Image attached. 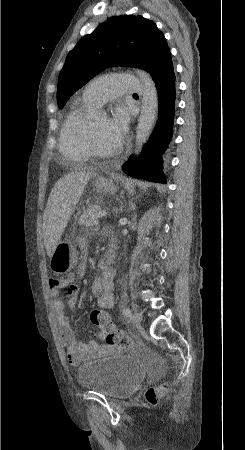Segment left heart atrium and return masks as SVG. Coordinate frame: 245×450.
<instances>
[{"mask_svg": "<svg viewBox=\"0 0 245 450\" xmlns=\"http://www.w3.org/2000/svg\"><path fill=\"white\" fill-rule=\"evenodd\" d=\"M129 117L124 109H118L114 116L108 120L107 131L111 142L120 146L128 130Z\"/></svg>", "mask_w": 245, "mask_h": 450, "instance_id": "obj_1", "label": "left heart atrium"}]
</instances>
